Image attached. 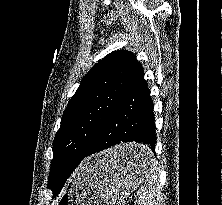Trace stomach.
I'll return each instance as SVG.
<instances>
[{
    "instance_id": "obj_1",
    "label": "stomach",
    "mask_w": 222,
    "mask_h": 205,
    "mask_svg": "<svg viewBox=\"0 0 222 205\" xmlns=\"http://www.w3.org/2000/svg\"><path fill=\"white\" fill-rule=\"evenodd\" d=\"M147 149L140 144H123L88 158L75 171L56 205H121L144 181L152 160L132 165L120 162L119 156Z\"/></svg>"
}]
</instances>
